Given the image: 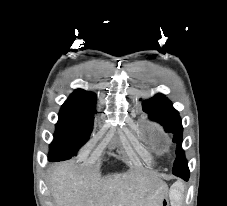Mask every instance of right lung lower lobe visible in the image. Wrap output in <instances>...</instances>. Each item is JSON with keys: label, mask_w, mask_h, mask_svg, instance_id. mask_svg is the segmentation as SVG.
Listing matches in <instances>:
<instances>
[{"label": "right lung lower lobe", "mask_w": 227, "mask_h": 206, "mask_svg": "<svg viewBox=\"0 0 227 206\" xmlns=\"http://www.w3.org/2000/svg\"><path fill=\"white\" fill-rule=\"evenodd\" d=\"M50 161H53V159L49 158Z\"/></svg>", "instance_id": "right-lung-lower-lobe-1"}]
</instances>
